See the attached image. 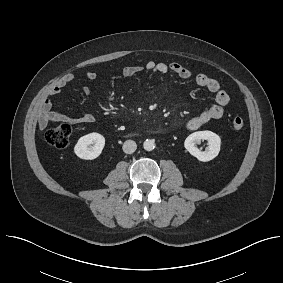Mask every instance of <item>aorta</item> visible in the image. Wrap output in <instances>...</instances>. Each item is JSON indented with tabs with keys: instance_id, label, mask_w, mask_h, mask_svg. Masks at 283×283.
I'll return each mask as SVG.
<instances>
[{
	"instance_id": "obj_1",
	"label": "aorta",
	"mask_w": 283,
	"mask_h": 283,
	"mask_svg": "<svg viewBox=\"0 0 283 283\" xmlns=\"http://www.w3.org/2000/svg\"><path fill=\"white\" fill-rule=\"evenodd\" d=\"M143 147L146 151H152L155 148V142L152 139H147L143 143Z\"/></svg>"
}]
</instances>
